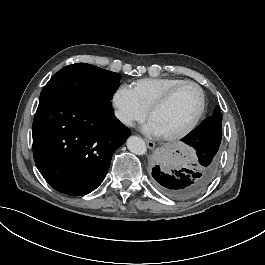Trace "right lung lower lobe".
Returning <instances> with one entry per match:
<instances>
[{"instance_id": "right-lung-lower-lobe-1", "label": "right lung lower lobe", "mask_w": 265, "mask_h": 265, "mask_svg": "<svg viewBox=\"0 0 265 265\" xmlns=\"http://www.w3.org/2000/svg\"><path fill=\"white\" fill-rule=\"evenodd\" d=\"M129 135L110 104L45 95L33 121V156L55 190L82 196L102 183Z\"/></svg>"}]
</instances>
